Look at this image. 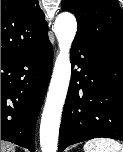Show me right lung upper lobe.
<instances>
[{
    "instance_id": "cb5924a9",
    "label": "right lung upper lobe",
    "mask_w": 123,
    "mask_h": 152,
    "mask_svg": "<svg viewBox=\"0 0 123 152\" xmlns=\"http://www.w3.org/2000/svg\"><path fill=\"white\" fill-rule=\"evenodd\" d=\"M46 36L38 0H1V57L28 51Z\"/></svg>"
}]
</instances>
